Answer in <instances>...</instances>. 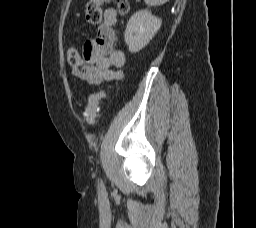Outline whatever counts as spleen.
<instances>
[{
	"label": "spleen",
	"mask_w": 256,
	"mask_h": 228,
	"mask_svg": "<svg viewBox=\"0 0 256 228\" xmlns=\"http://www.w3.org/2000/svg\"><path fill=\"white\" fill-rule=\"evenodd\" d=\"M144 1L147 5L158 6L168 2L169 0H144Z\"/></svg>",
	"instance_id": "3e777b00"
}]
</instances>
